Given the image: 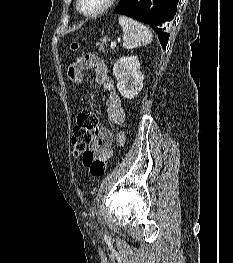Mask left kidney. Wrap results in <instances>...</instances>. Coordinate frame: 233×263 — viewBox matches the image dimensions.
Listing matches in <instances>:
<instances>
[{
    "mask_svg": "<svg viewBox=\"0 0 233 263\" xmlns=\"http://www.w3.org/2000/svg\"><path fill=\"white\" fill-rule=\"evenodd\" d=\"M113 74L118 91L124 98L133 99L142 90L144 76L137 56L119 58L113 66Z\"/></svg>",
    "mask_w": 233,
    "mask_h": 263,
    "instance_id": "obj_1",
    "label": "left kidney"
}]
</instances>
